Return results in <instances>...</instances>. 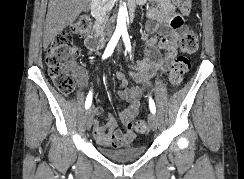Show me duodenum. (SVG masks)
I'll return each instance as SVG.
<instances>
[{
    "instance_id": "1",
    "label": "duodenum",
    "mask_w": 244,
    "mask_h": 179,
    "mask_svg": "<svg viewBox=\"0 0 244 179\" xmlns=\"http://www.w3.org/2000/svg\"><path fill=\"white\" fill-rule=\"evenodd\" d=\"M128 13L132 16L136 13V9H134V7H130ZM93 14L96 19L95 30L93 34L89 37V42L93 47L99 48L105 44L104 31L102 28L101 18L100 15L97 13L96 7L93 9Z\"/></svg>"
}]
</instances>
